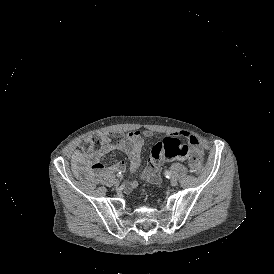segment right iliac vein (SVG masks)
Returning a JSON list of instances; mask_svg holds the SVG:
<instances>
[{
	"label": "right iliac vein",
	"instance_id": "1",
	"mask_svg": "<svg viewBox=\"0 0 274 274\" xmlns=\"http://www.w3.org/2000/svg\"><path fill=\"white\" fill-rule=\"evenodd\" d=\"M119 184H120L119 180L116 179V180L114 181V185H115V186H118Z\"/></svg>",
	"mask_w": 274,
	"mask_h": 274
}]
</instances>
